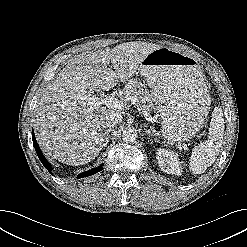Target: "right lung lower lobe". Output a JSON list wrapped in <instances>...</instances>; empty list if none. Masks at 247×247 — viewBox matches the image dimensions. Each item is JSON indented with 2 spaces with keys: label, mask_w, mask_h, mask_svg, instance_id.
Returning <instances> with one entry per match:
<instances>
[{
  "label": "right lung lower lobe",
  "mask_w": 247,
  "mask_h": 247,
  "mask_svg": "<svg viewBox=\"0 0 247 247\" xmlns=\"http://www.w3.org/2000/svg\"><path fill=\"white\" fill-rule=\"evenodd\" d=\"M32 140H33V145H34V148H35V151L40 159V161L42 162V164L44 165V167L49 171L51 172V165L50 163L46 160V158L44 157L38 143L36 142V139H35V135H34V132L32 130ZM102 165L97 167V168H94L92 170H89V171H86V172H83V173H80L78 174L77 178H84V177H88V176H91L97 172H100L102 170Z\"/></svg>",
  "instance_id": "obj_1"
}]
</instances>
